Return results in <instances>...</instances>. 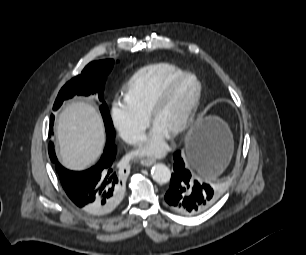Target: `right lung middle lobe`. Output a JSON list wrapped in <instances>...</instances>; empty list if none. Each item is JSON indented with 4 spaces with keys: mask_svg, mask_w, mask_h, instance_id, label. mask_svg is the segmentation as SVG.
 <instances>
[{
    "mask_svg": "<svg viewBox=\"0 0 306 255\" xmlns=\"http://www.w3.org/2000/svg\"><path fill=\"white\" fill-rule=\"evenodd\" d=\"M113 64L114 60L112 59L89 63L80 75L73 78L62 87L54 103L53 110H57L64 100L72 98L76 94L87 96L97 93L100 101H103L106 77L110 73ZM100 111L105 124L107 141H111L115 136V131L105 102L100 106ZM53 120L54 117L51 116V122H53ZM51 152H53V148L49 150V153ZM50 157L52 161L55 160L52 158L51 154Z\"/></svg>",
    "mask_w": 306,
    "mask_h": 255,
    "instance_id": "1",
    "label": "right lung middle lobe"
}]
</instances>
